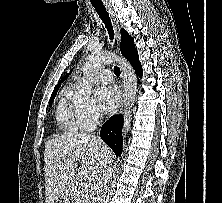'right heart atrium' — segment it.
I'll return each mask as SVG.
<instances>
[{
	"mask_svg": "<svg viewBox=\"0 0 222 203\" xmlns=\"http://www.w3.org/2000/svg\"><path fill=\"white\" fill-rule=\"evenodd\" d=\"M70 99L78 126L83 130L92 129L101 118L92 99L78 92H71Z\"/></svg>",
	"mask_w": 222,
	"mask_h": 203,
	"instance_id": "right-heart-atrium-1",
	"label": "right heart atrium"
}]
</instances>
